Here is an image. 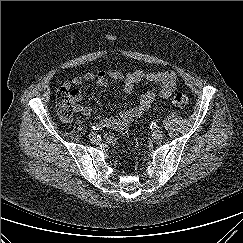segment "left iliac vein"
<instances>
[{
  "instance_id": "4c4485c4",
  "label": "left iliac vein",
  "mask_w": 243,
  "mask_h": 243,
  "mask_svg": "<svg viewBox=\"0 0 243 243\" xmlns=\"http://www.w3.org/2000/svg\"><path fill=\"white\" fill-rule=\"evenodd\" d=\"M153 139L160 140L163 137V133L160 130H155L152 134Z\"/></svg>"
}]
</instances>
